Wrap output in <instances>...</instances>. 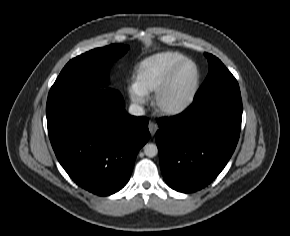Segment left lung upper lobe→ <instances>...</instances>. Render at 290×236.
I'll return each instance as SVG.
<instances>
[{"mask_svg":"<svg viewBox=\"0 0 290 236\" xmlns=\"http://www.w3.org/2000/svg\"><path fill=\"white\" fill-rule=\"evenodd\" d=\"M205 56L209 63V73L204 84L198 90L196 97L208 94L221 87L237 83L234 76L218 58L208 53H205Z\"/></svg>","mask_w":290,"mask_h":236,"instance_id":"obj_1","label":"left lung upper lobe"}]
</instances>
